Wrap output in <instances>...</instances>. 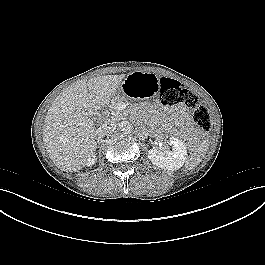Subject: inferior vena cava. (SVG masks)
Returning <instances> with one entry per match:
<instances>
[{
  "label": "inferior vena cava",
  "mask_w": 265,
  "mask_h": 265,
  "mask_svg": "<svg viewBox=\"0 0 265 265\" xmlns=\"http://www.w3.org/2000/svg\"><path fill=\"white\" fill-rule=\"evenodd\" d=\"M115 129H116V123L112 120H107L98 129V134L108 135L113 133Z\"/></svg>",
  "instance_id": "602c4592"
}]
</instances>
